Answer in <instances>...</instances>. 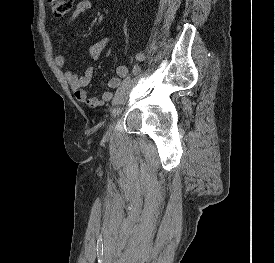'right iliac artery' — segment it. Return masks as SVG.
I'll list each match as a JSON object with an SVG mask.
<instances>
[{"mask_svg":"<svg viewBox=\"0 0 275 263\" xmlns=\"http://www.w3.org/2000/svg\"><path fill=\"white\" fill-rule=\"evenodd\" d=\"M136 59H137V61L141 62V61H143V60L145 59V56H144V54H142V53H138V54L136 55ZM130 80H131V76H127V77L125 78V80L123 81V84L121 85V87H119V88L117 89V92H116V94H115V97L118 96V95L122 92V90L130 83Z\"/></svg>","mask_w":275,"mask_h":263,"instance_id":"obj_1","label":"right iliac artery"}]
</instances>
